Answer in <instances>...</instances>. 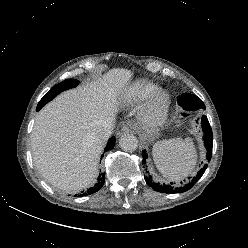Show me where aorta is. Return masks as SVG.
Segmentation results:
<instances>
[{
  "mask_svg": "<svg viewBox=\"0 0 248 248\" xmlns=\"http://www.w3.org/2000/svg\"><path fill=\"white\" fill-rule=\"evenodd\" d=\"M120 148L126 152H133L138 147V140L134 135H124L119 140Z\"/></svg>",
  "mask_w": 248,
  "mask_h": 248,
  "instance_id": "1",
  "label": "aorta"
}]
</instances>
